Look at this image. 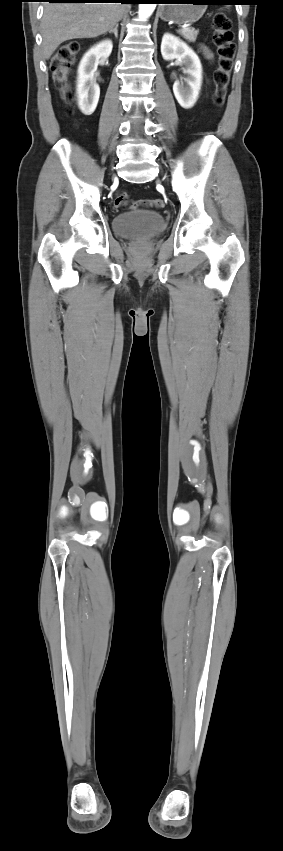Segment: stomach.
<instances>
[{
	"mask_svg": "<svg viewBox=\"0 0 283 851\" xmlns=\"http://www.w3.org/2000/svg\"><path fill=\"white\" fill-rule=\"evenodd\" d=\"M207 0H170L159 8V16L164 21L176 24H189L198 21L204 14Z\"/></svg>",
	"mask_w": 283,
	"mask_h": 851,
	"instance_id": "1",
	"label": "stomach"
}]
</instances>
